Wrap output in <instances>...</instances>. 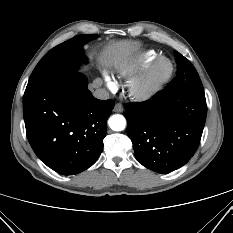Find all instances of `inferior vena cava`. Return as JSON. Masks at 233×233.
I'll return each mask as SVG.
<instances>
[{
	"instance_id": "602c4592",
	"label": "inferior vena cava",
	"mask_w": 233,
	"mask_h": 233,
	"mask_svg": "<svg viewBox=\"0 0 233 233\" xmlns=\"http://www.w3.org/2000/svg\"><path fill=\"white\" fill-rule=\"evenodd\" d=\"M94 97L100 100H107L109 99V93L105 89H97L93 93Z\"/></svg>"
}]
</instances>
